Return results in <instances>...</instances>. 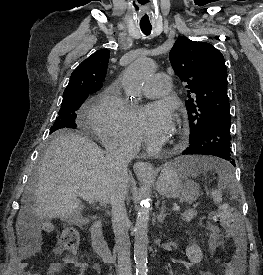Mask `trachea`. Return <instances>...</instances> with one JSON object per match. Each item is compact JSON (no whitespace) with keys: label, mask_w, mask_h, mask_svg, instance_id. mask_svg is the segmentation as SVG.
Returning <instances> with one entry per match:
<instances>
[{"label":"trachea","mask_w":263,"mask_h":275,"mask_svg":"<svg viewBox=\"0 0 263 275\" xmlns=\"http://www.w3.org/2000/svg\"><path fill=\"white\" fill-rule=\"evenodd\" d=\"M152 27H141V31L145 34V35H149L151 33Z\"/></svg>","instance_id":"obj_1"}]
</instances>
